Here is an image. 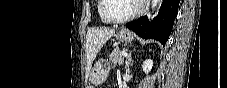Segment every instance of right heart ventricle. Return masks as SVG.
<instances>
[{
	"mask_svg": "<svg viewBox=\"0 0 227 88\" xmlns=\"http://www.w3.org/2000/svg\"><path fill=\"white\" fill-rule=\"evenodd\" d=\"M99 14H100V11H99ZM100 18H101L102 21H104V19L101 17V15H100Z\"/></svg>",
	"mask_w": 227,
	"mask_h": 88,
	"instance_id": "e07e8e85",
	"label": "right heart ventricle"
}]
</instances>
